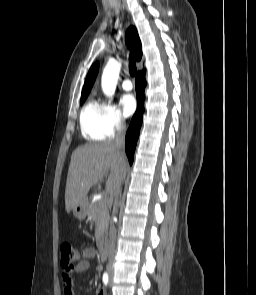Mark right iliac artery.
<instances>
[{"label":"right iliac artery","instance_id":"obj_1","mask_svg":"<svg viewBox=\"0 0 256 295\" xmlns=\"http://www.w3.org/2000/svg\"><path fill=\"white\" fill-rule=\"evenodd\" d=\"M102 280H103V283H104L105 285L108 284L109 277H108L107 272H105V273L103 274V278H102Z\"/></svg>","mask_w":256,"mask_h":295}]
</instances>
